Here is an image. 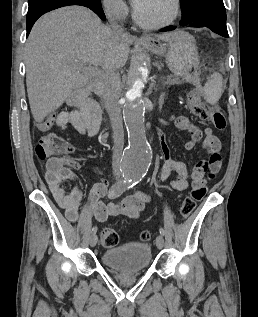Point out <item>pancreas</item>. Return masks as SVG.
I'll return each instance as SVG.
<instances>
[{
    "mask_svg": "<svg viewBox=\"0 0 258 317\" xmlns=\"http://www.w3.org/2000/svg\"><path fill=\"white\" fill-rule=\"evenodd\" d=\"M167 82H176V78H171V76H168Z\"/></svg>",
    "mask_w": 258,
    "mask_h": 317,
    "instance_id": "1",
    "label": "pancreas"
}]
</instances>
